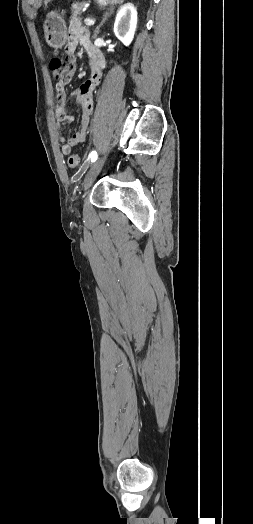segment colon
<instances>
[{
    "instance_id": "5ec220e1",
    "label": "colon",
    "mask_w": 253,
    "mask_h": 524,
    "mask_svg": "<svg viewBox=\"0 0 253 524\" xmlns=\"http://www.w3.org/2000/svg\"><path fill=\"white\" fill-rule=\"evenodd\" d=\"M68 61H64L60 58H54L51 59L49 62V67L52 73L53 79L59 81L61 78V75L63 73H66V67H67ZM68 166L70 168H77L80 164V158L77 154H70L67 159Z\"/></svg>"
}]
</instances>
